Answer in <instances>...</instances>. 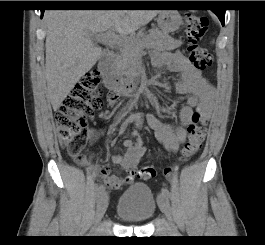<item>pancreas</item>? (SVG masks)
I'll list each match as a JSON object with an SVG mask.
<instances>
[{
  "label": "pancreas",
  "instance_id": "cf45deb5",
  "mask_svg": "<svg viewBox=\"0 0 265 245\" xmlns=\"http://www.w3.org/2000/svg\"><path fill=\"white\" fill-rule=\"evenodd\" d=\"M182 45L180 40L170 37L158 29H151L148 35L140 34L122 45L121 55L116 63L117 69L128 79L137 75V63L141 47L154 48L160 51L174 50Z\"/></svg>",
  "mask_w": 265,
  "mask_h": 245
}]
</instances>
